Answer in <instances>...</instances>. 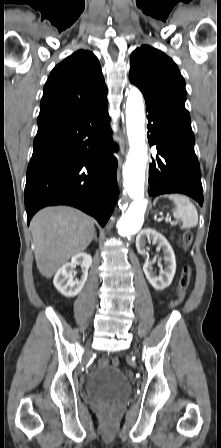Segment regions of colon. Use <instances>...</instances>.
<instances>
[{
    "label": "colon",
    "mask_w": 221,
    "mask_h": 448,
    "mask_svg": "<svg viewBox=\"0 0 221 448\" xmlns=\"http://www.w3.org/2000/svg\"><path fill=\"white\" fill-rule=\"evenodd\" d=\"M193 239V235L191 232H186L183 235V243L185 246H189L190 243L192 242ZM190 277H191V267L189 265H185L182 269V274H181V278L179 281V285L177 287V289L174 292L172 301H171V306L172 307H177L183 298L184 292L186 291V289L189 286L190 283ZM108 360L106 358H102L99 360V364L102 366L107 365ZM119 359L118 358H113L112 359V365L113 366H119ZM126 376L127 377H131L132 376V372L131 371H126ZM105 417L107 419H112L113 418V413L111 411H107L105 414Z\"/></svg>",
    "instance_id": "colon-1"
}]
</instances>
